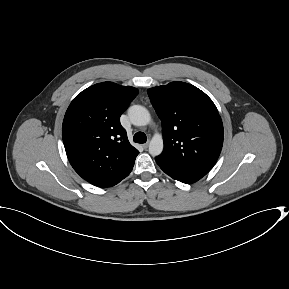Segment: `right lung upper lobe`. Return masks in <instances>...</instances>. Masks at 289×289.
<instances>
[{"label":"right lung upper lobe","instance_id":"obj_1","mask_svg":"<svg viewBox=\"0 0 289 289\" xmlns=\"http://www.w3.org/2000/svg\"><path fill=\"white\" fill-rule=\"evenodd\" d=\"M138 94L130 86L98 83L69 105L62 125L67 157L89 183L111 187L131 172L139 153L128 141L120 116Z\"/></svg>","mask_w":289,"mask_h":289}]
</instances>
